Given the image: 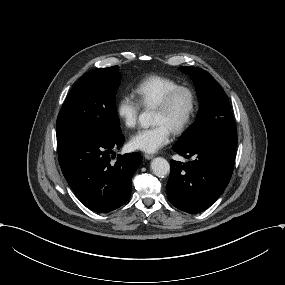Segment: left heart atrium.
Segmentation results:
<instances>
[{"instance_id":"1","label":"left heart atrium","mask_w":285,"mask_h":285,"mask_svg":"<svg viewBox=\"0 0 285 285\" xmlns=\"http://www.w3.org/2000/svg\"><path fill=\"white\" fill-rule=\"evenodd\" d=\"M171 132V127L168 125L156 123L134 135L131 144L137 149L154 152L169 142Z\"/></svg>"}]
</instances>
